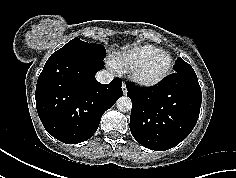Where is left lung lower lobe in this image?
Listing matches in <instances>:
<instances>
[{"label":"left lung lower lobe","mask_w":236,"mask_h":178,"mask_svg":"<svg viewBox=\"0 0 236 178\" xmlns=\"http://www.w3.org/2000/svg\"><path fill=\"white\" fill-rule=\"evenodd\" d=\"M133 107L130 130L142 146L164 151L183 141L199 117L202 92L195 73H173L158 85L126 84Z\"/></svg>","instance_id":"obj_1"}]
</instances>
